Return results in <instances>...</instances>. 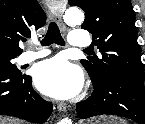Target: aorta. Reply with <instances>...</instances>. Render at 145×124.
Segmentation results:
<instances>
[{
	"label": "aorta",
	"mask_w": 145,
	"mask_h": 124,
	"mask_svg": "<svg viewBox=\"0 0 145 124\" xmlns=\"http://www.w3.org/2000/svg\"><path fill=\"white\" fill-rule=\"evenodd\" d=\"M83 20H84V14L79 9L70 8L67 9L64 14V21L66 22L67 25L70 26L78 25L82 23ZM59 124H72V121L71 119L65 118L61 120Z\"/></svg>",
	"instance_id": "aorta-1"
}]
</instances>
